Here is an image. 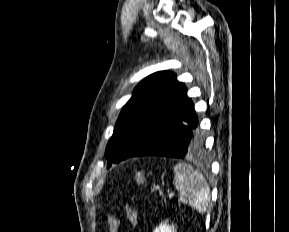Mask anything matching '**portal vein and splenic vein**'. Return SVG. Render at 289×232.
<instances>
[{"label":"portal vein and splenic vein","mask_w":289,"mask_h":232,"mask_svg":"<svg viewBox=\"0 0 289 232\" xmlns=\"http://www.w3.org/2000/svg\"><path fill=\"white\" fill-rule=\"evenodd\" d=\"M174 196H175V193H174V192H170V193H168L167 198H168V199H171V198H173Z\"/></svg>","instance_id":"18ae733b"}]
</instances>
